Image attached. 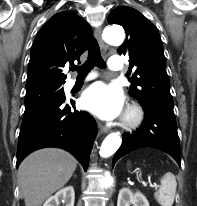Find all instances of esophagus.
I'll return each instance as SVG.
<instances>
[{"label": "esophagus", "mask_w": 197, "mask_h": 206, "mask_svg": "<svg viewBox=\"0 0 197 206\" xmlns=\"http://www.w3.org/2000/svg\"><path fill=\"white\" fill-rule=\"evenodd\" d=\"M94 34H95V38L97 39V41H98L101 49H102L103 51H106V45H105V43H104V41H103V39H102V35H101V28H97V29L95 30V33H94ZM99 128H100V130H101L103 133H107V132L110 131V129H109L108 127L104 126L103 124H99Z\"/></svg>", "instance_id": "34e87169"}]
</instances>
